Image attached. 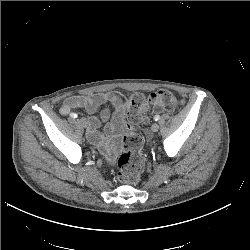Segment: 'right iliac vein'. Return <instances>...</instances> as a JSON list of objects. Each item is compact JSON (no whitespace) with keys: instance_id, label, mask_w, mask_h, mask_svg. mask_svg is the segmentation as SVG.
<instances>
[{"instance_id":"right-iliac-vein-1","label":"right iliac vein","mask_w":250,"mask_h":250,"mask_svg":"<svg viewBox=\"0 0 250 250\" xmlns=\"http://www.w3.org/2000/svg\"><path fill=\"white\" fill-rule=\"evenodd\" d=\"M78 122H79L83 127H85V128H86L87 125H88V121H87V119L84 118V117L78 119Z\"/></svg>"}]
</instances>
